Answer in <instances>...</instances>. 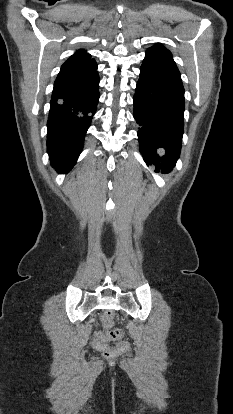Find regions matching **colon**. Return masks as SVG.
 Instances as JSON below:
<instances>
[{"label":"colon","instance_id":"obj_1","mask_svg":"<svg viewBox=\"0 0 233 414\" xmlns=\"http://www.w3.org/2000/svg\"><path fill=\"white\" fill-rule=\"evenodd\" d=\"M101 323L105 331H98L94 334V346L106 357H109L116 353L117 348L110 347L108 343L122 339L124 332L120 328L112 329L114 323V313L112 311H107L103 314Z\"/></svg>","mask_w":233,"mask_h":414}]
</instances>
